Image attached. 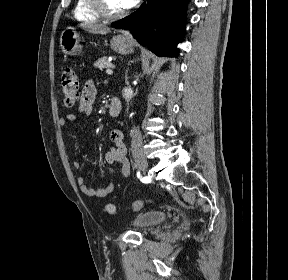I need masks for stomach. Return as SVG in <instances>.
Returning a JSON list of instances; mask_svg holds the SVG:
<instances>
[{
	"instance_id": "stomach-1",
	"label": "stomach",
	"mask_w": 288,
	"mask_h": 280,
	"mask_svg": "<svg viewBox=\"0 0 288 280\" xmlns=\"http://www.w3.org/2000/svg\"><path fill=\"white\" fill-rule=\"evenodd\" d=\"M80 36L76 30L72 27L66 28L60 37V47L63 53L67 55H78L82 51V45L80 44ZM110 46L113 50L121 54H130L133 50L132 43L122 35L113 37L110 40Z\"/></svg>"
}]
</instances>
